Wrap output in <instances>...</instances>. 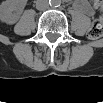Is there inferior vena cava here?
Segmentation results:
<instances>
[{
    "label": "inferior vena cava",
    "mask_w": 103,
    "mask_h": 103,
    "mask_svg": "<svg viewBox=\"0 0 103 103\" xmlns=\"http://www.w3.org/2000/svg\"><path fill=\"white\" fill-rule=\"evenodd\" d=\"M36 8L38 10L44 11L49 8V3L47 0H38L36 2Z\"/></svg>",
    "instance_id": "inferior-vena-cava-1"
}]
</instances>
